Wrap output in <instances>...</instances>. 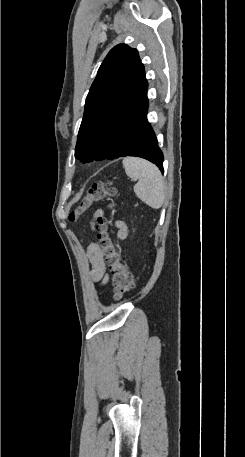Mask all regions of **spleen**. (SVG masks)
Listing matches in <instances>:
<instances>
[{"label":"spleen","mask_w":245,"mask_h":457,"mask_svg":"<svg viewBox=\"0 0 245 457\" xmlns=\"http://www.w3.org/2000/svg\"><path fill=\"white\" fill-rule=\"evenodd\" d=\"M126 174L130 178H138L134 184V192L143 202L152 208H161L165 196L163 176L156 164H152L139 156H125L122 160Z\"/></svg>","instance_id":"spleen-1"}]
</instances>
